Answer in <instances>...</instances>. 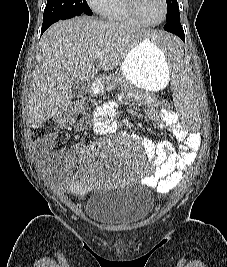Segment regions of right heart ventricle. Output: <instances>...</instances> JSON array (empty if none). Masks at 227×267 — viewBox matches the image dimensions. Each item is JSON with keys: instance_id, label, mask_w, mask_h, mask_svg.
<instances>
[{"instance_id": "right-heart-ventricle-1", "label": "right heart ventricle", "mask_w": 227, "mask_h": 267, "mask_svg": "<svg viewBox=\"0 0 227 267\" xmlns=\"http://www.w3.org/2000/svg\"><path fill=\"white\" fill-rule=\"evenodd\" d=\"M103 18L132 25H142L130 12L127 0H105L104 3L96 10Z\"/></svg>"}]
</instances>
